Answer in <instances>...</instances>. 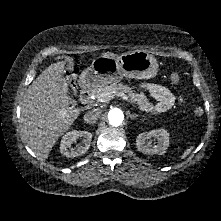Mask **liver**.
Instances as JSON below:
<instances>
[{"mask_svg": "<svg viewBox=\"0 0 221 221\" xmlns=\"http://www.w3.org/2000/svg\"><path fill=\"white\" fill-rule=\"evenodd\" d=\"M115 57L114 53H103ZM66 61L46 68L29 86L21 107L25 142L40 160L48 158L55 142L68 131L80 114L70 107L68 84L63 77Z\"/></svg>", "mask_w": 221, "mask_h": 221, "instance_id": "liver-1", "label": "liver"}]
</instances>
